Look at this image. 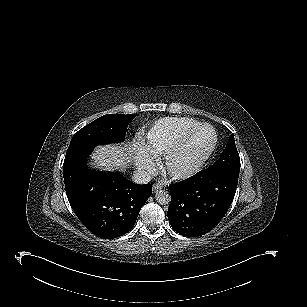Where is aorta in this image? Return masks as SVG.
Here are the masks:
<instances>
[{
	"instance_id": "1",
	"label": "aorta",
	"mask_w": 307,
	"mask_h": 307,
	"mask_svg": "<svg viewBox=\"0 0 307 307\" xmlns=\"http://www.w3.org/2000/svg\"><path fill=\"white\" fill-rule=\"evenodd\" d=\"M155 199L160 205H167L170 203L171 196L168 191L160 190L156 193Z\"/></svg>"
}]
</instances>
